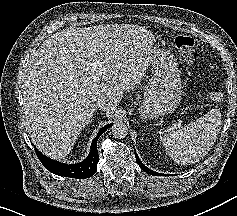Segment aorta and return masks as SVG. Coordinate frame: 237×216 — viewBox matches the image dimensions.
Returning a JSON list of instances; mask_svg holds the SVG:
<instances>
[{
  "instance_id": "762f6f07",
  "label": "aorta",
  "mask_w": 237,
  "mask_h": 216,
  "mask_svg": "<svg viewBox=\"0 0 237 216\" xmlns=\"http://www.w3.org/2000/svg\"><path fill=\"white\" fill-rule=\"evenodd\" d=\"M111 133L114 138L123 139L128 134V127L124 122L117 121L111 127Z\"/></svg>"
}]
</instances>
